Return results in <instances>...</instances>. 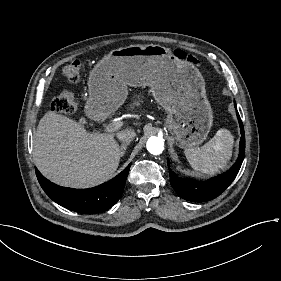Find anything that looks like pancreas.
Segmentation results:
<instances>
[{
  "instance_id": "pancreas-1",
  "label": "pancreas",
  "mask_w": 281,
  "mask_h": 281,
  "mask_svg": "<svg viewBox=\"0 0 281 281\" xmlns=\"http://www.w3.org/2000/svg\"><path fill=\"white\" fill-rule=\"evenodd\" d=\"M143 102L140 100V96L137 97V99L133 100V103L131 104V108L133 109L135 106H140V103Z\"/></svg>"
}]
</instances>
